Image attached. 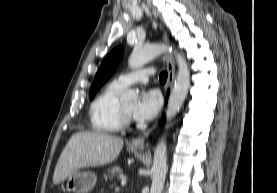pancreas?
I'll return each mask as SVG.
<instances>
[{
	"instance_id": "pancreas-1",
	"label": "pancreas",
	"mask_w": 277,
	"mask_h": 193,
	"mask_svg": "<svg viewBox=\"0 0 277 193\" xmlns=\"http://www.w3.org/2000/svg\"><path fill=\"white\" fill-rule=\"evenodd\" d=\"M123 176V171L120 167H113L106 170L104 173V178L109 180L119 179Z\"/></svg>"
}]
</instances>
